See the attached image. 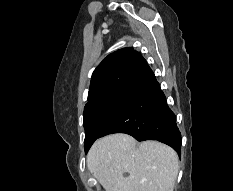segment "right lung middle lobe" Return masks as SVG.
Here are the masks:
<instances>
[{
    "instance_id": "1",
    "label": "right lung middle lobe",
    "mask_w": 233,
    "mask_h": 191,
    "mask_svg": "<svg viewBox=\"0 0 233 191\" xmlns=\"http://www.w3.org/2000/svg\"><path fill=\"white\" fill-rule=\"evenodd\" d=\"M128 94V91L112 94L85 106L83 113L85 153L88 152L104 128L126 105Z\"/></svg>"
}]
</instances>
